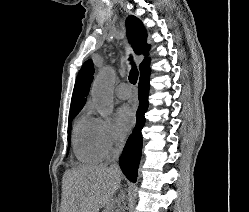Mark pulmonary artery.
<instances>
[{
    "instance_id": "obj_1",
    "label": "pulmonary artery",
    "mask_w": 249,
    "mask_h": 212,
    "mask_svg": "<svg viewBox=\"0 0 249 212\" xmlns=\"http://www.w3.org/2000/svg\"><path fill=\"white\" fill-rule=\"evenodd\" d=\"M115 94L122 100L128 99L131 96L130 86L125 82L118 84L115 89Z\"/></svg>"
}]
</instances>
